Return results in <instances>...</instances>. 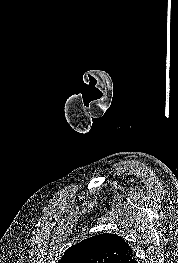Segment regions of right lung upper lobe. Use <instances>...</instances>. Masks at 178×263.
Here are the masks:
<instances>
[{
    "mask_svg": "<svg viewBox=\"0 0 178 263\" xmlns=\"http://www.w3.org/2000/svg\"><path fill=\"white\" fill-rule=\"evenodd\" d=\"M134 256L122 237L104 233L71 246L58 263H137Z\"/></svg>",
    "mask_w": 178,
    "mask_h": 263,
    "instance_id": "cb5924a9",
    "label": "right lung upper lobe"
}]
</instances>
